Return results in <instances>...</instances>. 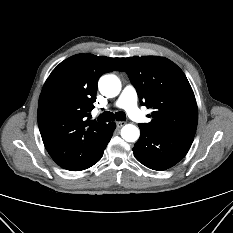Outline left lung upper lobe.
<instances>
[{
  "mask_svg": "<svg viewBox=\"0 0 233 233\" xmlns=\"http://www.w3.org/2000/svg\"><path fill=\"white\" fill-rule=\"evenodd\" d=\"M140 102L154 109L152 121L141 125L162 133L194 137L198 111L183 71L164 57L121 59Z\"/></svg>",
  "mask_w": 233,
  "mask_h": 233,
  "instance_id": "5c2ea615",
  "label": "left lung upper lobe"
}]
</instances>
